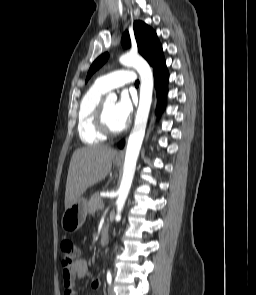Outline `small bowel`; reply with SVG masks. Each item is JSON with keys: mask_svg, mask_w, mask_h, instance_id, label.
<instances>
[{"mask_svg": "<svg viewBox=\"0 0 256 295\" xmlns=\"http://www.w3.org/2000/svg\"><path fill=\"white\" fill-rule=\"evenodd\" d=\"M88 274V264L85 259H78L69 268L62 271L64 295H75L76 280L83 279ZM102 287V279L97 277L92 282L93 289Z\"/></svg>", "mask_w": 256, "mask_h": 295, "instance_id": "small-bowel-1", "label": "small bowel"}]
</instances>
